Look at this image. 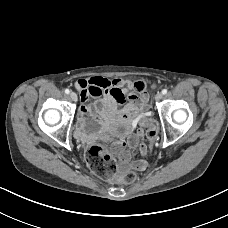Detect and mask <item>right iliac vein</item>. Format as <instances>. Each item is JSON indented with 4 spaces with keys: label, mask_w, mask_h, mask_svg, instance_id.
Instances as JSON below:
<instances>
[{
    "label": "right iliac vein",
    "mask_w": 228,
    "mask_h": 228,
    "mask_svg": "<svg viewBox=\"0 0 228 228\" xmlns=\"http://www.w3.org/2000/svg\"><path fill=\"white\" fill-rule=\"evenodd\" d=\"M70 98L72 99V101L76 102L77 101V94L75 92H71L70 93Z\"/></svg>",
    "instance_id": "63e3f726"
}]
</instances>
